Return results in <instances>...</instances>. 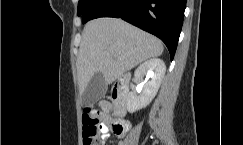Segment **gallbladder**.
I'll return each mask as SVG.
<instances>
[{"instance_id": "1", "label": "gallbladder", "mask_w": 243, "mask_h": 145, "mask_svg": "<svg viewBox=\"0 0 243 145\" xmlns=\"http://www.w3.org/2000/svg\"><path fill=\"white\" fill-rule=\"evenodd\" d=\"M107 90L105 78L101 72H96L90 79L85 91L82 94L83 106H90L102 98Z\"/></svg>"}]
</instances>
